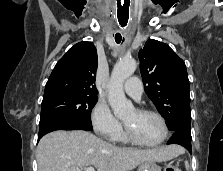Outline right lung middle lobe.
I'll list each match as a JSON object with an SVG mask.
<instances>
[{
	"label": "right lung middle lobe",
	"mask_w": 223,
	"mask_h": 171,
	"mask_svg": "<svg viewBox=\"0 0 223 171\" xmlns=\"http://www.w3.org/2000/svg\"><path fill=\"white\" fill-rule=\"evenodd\" d=\"M97 95L66 93L43 98L39 126L56 119L71 118L85 124L91 123V110Z\"/></svg>",
	"instance_id": "1"
}]
</instances>
